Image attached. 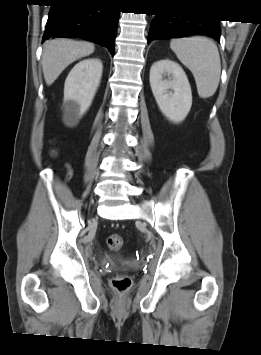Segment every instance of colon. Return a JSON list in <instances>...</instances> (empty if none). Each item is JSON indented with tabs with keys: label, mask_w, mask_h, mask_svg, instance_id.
I'll return each mask as SVG.
<instances>
[{
	"label": "colon",
	"mask_w": 261,
	"mask_h": 355,
	"mask_svg": "<svg viewBox=\"0 0 261 355\" xmlns=\"http://www.w3.org/2000/svg\"><path fill=\"white\" fill-rule=\"evenodd\" d=\"M72 176L71 172L67 173L66 178L69 179ZM107 246L111 250H119L123 245V239L119 234H110L107 239ZM131 278L127 275H118L111 280V286L118 292H125L131 287Z\"/></svg>",
	"instance_id": "1"
}]
</instances>
